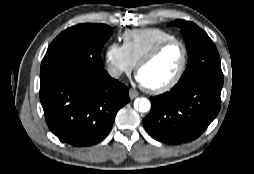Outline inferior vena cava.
Here are the masks:
<instances>
[{"instance_id": "obj_1", "label": "inferior vena cava", "mask_w": 254, "mask_h": 174, "mask_svg": "<svg viewBox=\"0 0 254 174\" xmlns=\"http://www.w3.org/2000/svg\"><path fill=\"white\" fill-rule=\"evenodd\" d=\"M108 72L113 78H118L122 74V71L117 68H111Z\"/></svg>"}]
</instances>
